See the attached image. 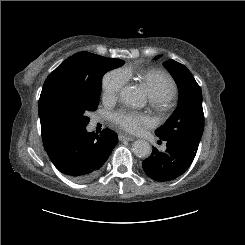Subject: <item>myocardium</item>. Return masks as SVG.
Here are the masks:
<instances>
[{
	"label": "myocardium",
	"mask_w": 245,
	"mask_h": 245,
	"mask_svg": "<svg viewBox=\"0 0 245 245\" xmlns=\"http://www.w3.org/2000/svg\"><path fill=\"white\" fill-rule=\"evenodd\" d=\"M151 103L161 111H167L172 104V97L168 93H163L151 97Z\"/></svg>",
	"instance_id": "1"
}]
</instances>
